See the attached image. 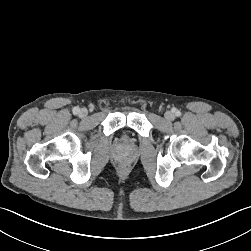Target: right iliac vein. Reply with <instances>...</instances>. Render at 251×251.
<instances>
[{"mask_svg": "<svg viewBox=\"0 0 251 251\" xmlns=\"http://www.w3.org/2000/svg\"><path fill=\"white\" fill-rule=\"evenodd\" d=\"M79 115L81 117H86L88 115V110L86 108H82L80 111H79Z\"/></svg>", "mask_w": 251, "mask_h": 251, "instance_id": "63e3f726", "label": "right iliac vein"}]
</instances>
